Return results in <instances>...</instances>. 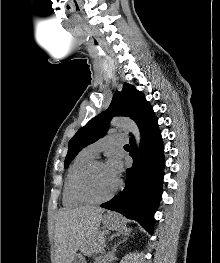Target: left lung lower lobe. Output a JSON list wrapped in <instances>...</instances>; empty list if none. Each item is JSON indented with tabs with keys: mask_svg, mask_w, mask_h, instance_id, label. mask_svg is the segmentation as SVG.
I'll use <instances>...</instances> for the list:
<instances>
[{
	"mask_svg": "<svg viewBox=\"0 0 220 263\" xmlns=\"http://www.w3.org/2000/svg\"><path fill=\"white\" fill-rule=\"evenodd\" d=\"M130 156L135 160L126 171L124 190L100 206L138 221L153 234L154 213L158 208L163 184L164 152L158 120L141 132L140 157L136 160L135 139L130 138Z\"/></svg>",
	"mask_w": 220,
	"mask_h": 263,
	"instance_id": "0a47b994",
	"label": "left lung lower lobe"
}]
</instances>
